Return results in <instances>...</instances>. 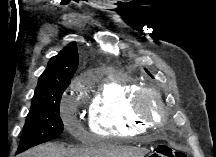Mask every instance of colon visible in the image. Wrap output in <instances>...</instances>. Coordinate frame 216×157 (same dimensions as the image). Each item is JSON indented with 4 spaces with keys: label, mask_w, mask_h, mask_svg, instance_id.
<instances>
[{
    "label": "colon",
    "mask_w": 216,
    "mask_h": 157,
    "mask_svg": "<svg viewBox=\"0 0 216 157\" xmlns=\"http://www.w3.org/2000/svg\"><path fill=\"white\" fill-rule=\"evenodd\" d=\"M149 157H187V154L167 145H159Z\"/></svg>",
    "instance_id": "colon-1"
}]
</instances>
